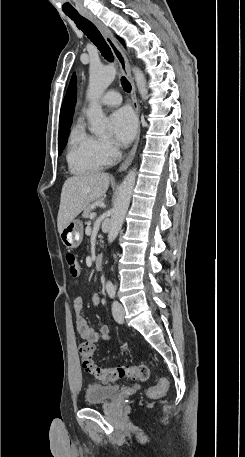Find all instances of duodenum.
<instances>
[{"label":"duodenum","instance_id":"duodenum-1","mask_svg":"<svg viewBox=\"0 0 245 457\" xmlns=\"http://www.w3.org/2000/svg\"><path fill=\"white\" fill-rule=\"evenodd\" d=\"M93 263H94V266H95L96 269L102 268V266H103V256L100 255V254L96 255L95 258H94Z\"/></svg>","mask_w":245,"mask_h":457}]
</instances>
